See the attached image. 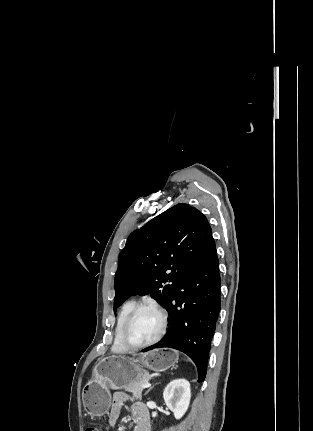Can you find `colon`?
Instances as JSON below:
<instances>
[{"label": "colon", "instance_id": "5ec220e1", "mask_svg": "<svg viewBox=\"0 0 313 431\" xmlns=\"http://www.w3.org/2000/svg\"><path fill=\"white\" fill-rule=\"evenodd\" d=\"M86 431H100V430L95 427H90V428H87Z\"/></svg>", "mask_w": 313, "mask_h": 431}]
</instances>
